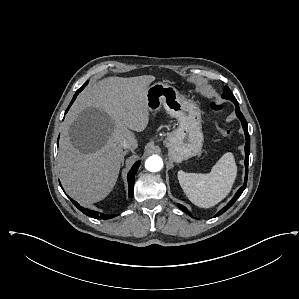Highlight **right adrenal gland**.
<instances>
[{"mask_svg":"<svg viewBox=\"0 0 299 299\" xmlns=\"http://www.w3.org/2000/svg\"><path fill=\"white\" fill-rule=\"evenodd\" d=\"M129 151H124V153H123V158H122V165H123V163H124V157H125V155L128 153Z\"/></svg>","mask_w":299,"mask_h":299,"instance_id":"obj_1","label":"right adrenal gland"}]
</instances>
